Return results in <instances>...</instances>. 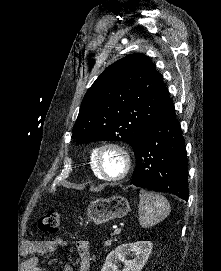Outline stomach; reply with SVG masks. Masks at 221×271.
<instances>
[{
	"label": "stomach",
	"instance_id": "0dacf381",
	"mask_svg": "<svg viewBox=\"0 0 221 271\" xmlns=\"http://www.w3.org/2000/svg\"><path fill=\"white\" fill-rule=\"evenodd\" d=\"M130 201L122 195H113V197H98L88 205L87 215L95 223H106L109 219L123 217L130 211Z\"/></svg>",
	"mask_w": 221,
	"mask_h": 271
}]
</instances>
